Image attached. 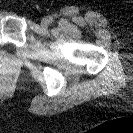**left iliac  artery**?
Segmentation results:
<instances>
[{"mask_svg":"<svg viewBox=\"0 0 133 133\" xmlns=\"http://www.w3.org/2000/svg\"><path fill=\"white\" fill-rule=\"evenodd\" d=\"M49 21H50V23H52L53 22V17H49Z\"/></svg>","mask_w":133,"mask_h":133,"instance_id":"1","label":"left iliac artery"}]
</instances>
